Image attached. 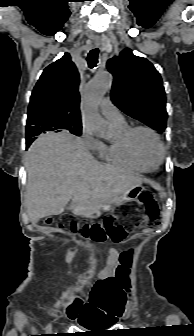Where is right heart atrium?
Segmentation results:
<instances>
[{
    "label": "right heart atrium",
    "instance_id": "obj_1",
    "mask_svg": "<svg viewBox=\"0 0 194 336\" xmlns=\"http://www.w3.org/2000/svg\"><path fill=\"white\" fill-rule=\"evenodd\" d=\"M82 141L86 148L92 151H97L101 144V142L85 128L82 131Z\"/></svg>",
    "mask_w": 194,
    "mask_h": 336
}]
</instances>
